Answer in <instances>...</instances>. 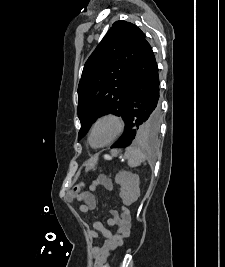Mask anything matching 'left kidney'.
Wrapping results in <instances>:
<instances>
[{
    "mask_svg": "<svg viewBox=\"0 0 225 267\" xmlns=\"http://www.w3.org/2000/svg\"><path fill=\"white\" fill-rule=\"evenodd\" d=\"M115 182L121 186L120 197L123 204L130 206L140 196V178L129 171H121L115 177Z\"/></svg>",
    "mask_w": 225,
    "mask_h": 267,
    "instance_id": "1",
    "label": "left kidney"
}]
</instances>
